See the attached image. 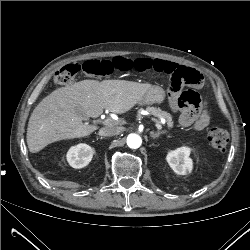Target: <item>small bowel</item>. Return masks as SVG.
Instances as JSON below:
<instances>
[{
    "mask_svg": "<svg viewBox=\"0 0 250 250\" xmlns=\"http://www.w3.org/2000/svg\"><path fill=\"white\" fill-rule=\"evenodd\" d=\"M179 67L181 66L174 62L162 59H134V69L137 71L154 70L156 72L172 74ZM180 123L185 127H192L196 131L204 130L210 123V116L206 103L201 102L198 107L184 109L180 115Z\"/></svg>",
    "mask_w": 250,
    "mask_h": 250,
    "instance_id": "obj_1",
    "label": "small bowel"
}]
</instances>
